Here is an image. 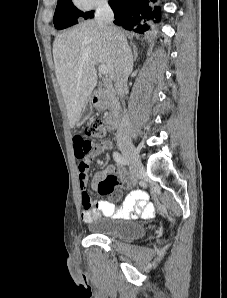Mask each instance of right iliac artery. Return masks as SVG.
<instances>
[{"label": "right iliac artery", "mask_w": 227, "mask_h": 298, "mask_svg": "<svg viewBox=\"0 0 227 298\" xmlns=\"http://www.w3.org/2000/svg\"><path fill=\"white\" fill-rule=\"evenodd\" d=\"M113 158L119 165H126L127 163V160L125 159V157L117 151L113 153Z\"/></svg>", "instance_id": "right-iliac-artery-1"}]
</instances>
